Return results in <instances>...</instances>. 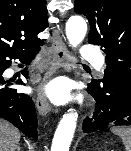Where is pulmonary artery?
Wrapping results in <instances>:
<instances>
[{
	"mask_svg": "<svg viewBox=\"0 0 131 151\" xmlns=\"http://www.w3.org/2000/svg\"><path fill=\"white\" fill-rule=\"evenodd\" d=\"M81 57L83 60L91 63L98 71L104 69L103 56L91 45H84L81 49Z\"/></svg>",
	"mask_w": 131,
	"mask_h": 151,
	"instance_id": "obj_1",
	"label": "pulmonary artery"
}]
</instances>
